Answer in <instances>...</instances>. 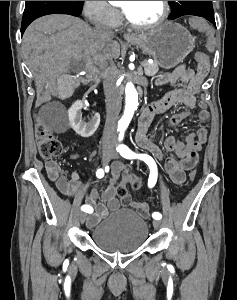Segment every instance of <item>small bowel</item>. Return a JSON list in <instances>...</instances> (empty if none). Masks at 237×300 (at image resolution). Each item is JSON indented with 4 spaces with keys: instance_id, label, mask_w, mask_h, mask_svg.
Masks as SVG:
<instances>
[{
    "instance_id": "small-bowel-1",
    "label": "small bowel",
    "mask_w": 237,
    "mask_h": 300,
    "mask_svg": "<svg viewBox=\"0 0 237 300\" xmlns=\"http://www.w3.org/2000/svg\"><path fill=\"white\" fill-rule=\"evenodd\" d=\"M209 65H197L193 70L187 65H180L171 73L158 76L157 84H171L174 89L166 93L161 99L147 106L139 116L135 140L137 145L151 153L159 160L164 159V168L171 183L182 184L185 181V171L191 170L198 162V153L207 141V126H200L197 133H190L186 137V142H182L173 136H166L163 146L168 155L165 156L161 147L153 143L147 133L153 123L155 116L162 114L171 107L183 104L186 109L173 114L168 120V124L173 126L189 119L190 110L196 106L197 95L208 75ZM186 84L185 88L179 84ZM199 119L206 121L209 118V111L205 102L199 103ZM78 153L72 154L73 158L78 157ZM125 169L122 163H115L112 166L111 176L104 187L95 186L90 191L82 181L77 172L65 174L59 164L55 161L46 163L48 178L55 183L58 190L69 197H80L92 207L93 212L87 219L89 227L95 226L109 212L118 210L122 206L129 205L143 214H147L149 206L144 202L132 201L129 197L119 200L116 196L117 184L121 174Z\"/></svg>"
}]
</instances>
